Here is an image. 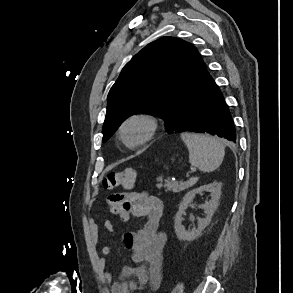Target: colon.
Masks as SVG:
<instances>
[{"mask_svg":"<svg viewBox=\"0 0 293 293\" xmlns=\"http://www.w3.org/2000/svg\"><path fill=\"white\" fill-rule=\"evenodd\" d=\"M137 174L134 169L111 171L102 181L103 188L111 190L114 188L132 189L135 187Z\"/></svg>","mask_w":293,"mask_h":293,"instance_id":"obj_1","label":"colon"}]
</instances>
